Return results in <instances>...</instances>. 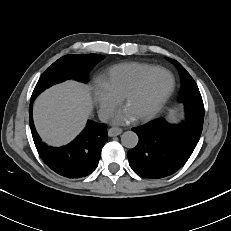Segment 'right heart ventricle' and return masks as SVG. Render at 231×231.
I'll return each mask as SVG.
<instances>
[{
  "label": "right heart ventricle",
  "mask_w": 231,
  "mask_h": 231,
  "mask_svg": "<svg viewBox=\"0 0 231 231\" xmlns=\"http://www.w3.org/2000/svg\"><path fill=\"white\" fill-rule=\"evenodd\" d=\"M157 69L158 66L146 63H122L111 67L101 80L121 99L138 81Z\"/></svg>",
  "instance_id": "obj_1"
}]
</instances>
